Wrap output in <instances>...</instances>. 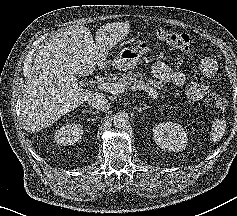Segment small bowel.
Returning <instances> with one entry per match:
<instances>
[{
  "mask_svg": "<svg viewBox=\"0 0 237 216\" xmlns=\"http://www.w3.org/2000/svg\"><path fill=\"white\" fill-rule=\"evenodd\" d=\"M199 70L203 75L211 77L217 72V64L212 58H203L199 64ZM152 73L164 85H185L187 96L193 100L201 99L209 93L206 84L198 82L186 84L185 76L181 72L174 71L164 62H155L152 66Z\"/></svg>",
  "mask_w": 237,
  "mask_h": 216,
  "instance_id": "small-bowel-1",
  "label": "small bowel"
}]
</instances>
